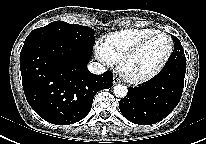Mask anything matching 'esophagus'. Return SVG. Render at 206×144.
<instances>
[{
  "mask_svg": "<svg viewBox=\"0 0 206 144\" xmlns=\"http://www.w3.org/2000/svg\"><path fill=\"white\" fill-rule=\"evenodd\" d=\"M118 83H121V79L119 77L115 76L113 78V84L115 85V84H118Z\"/></svg>",
  "mask_w": 206,
  "mask_h": 144,
  "instance_id": "esophagus-1",
  "label": "esophagus"
}]
</instances>
